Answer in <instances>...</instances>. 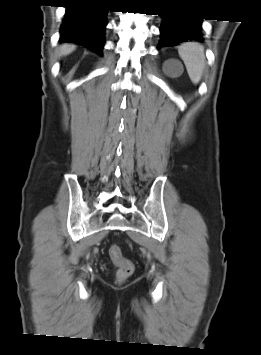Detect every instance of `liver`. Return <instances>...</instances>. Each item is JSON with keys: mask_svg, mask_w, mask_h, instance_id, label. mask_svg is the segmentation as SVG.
I'll return each instance as SVG.
<instances>
[{"mask_svg": "<svg viewBox=\"0 0 261 355\" xmlns=\"http://www.w3.org/2000/svg\"><path fill=\"white\" fill-rule=\"evenodd\" d=\"M76 49L75 45L72 44H63L59 48V55L60 56H66L70 53H72Z\"/></svg>", "mask_w": 261, "mask_h": 355, "instance_id": "1", "label": "liver"}]
</instances>
